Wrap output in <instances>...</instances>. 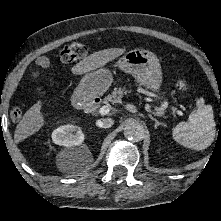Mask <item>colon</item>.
<instances>
[{"instance_id":"5ec220e1","label":"colon","mask_w":221,"mask_h":221,"mask_svg":"<svg viewBox=\"0 0 221 221\" xmlns=\"http://www.w3.org/2000/svg\"><path fill=\"white\" fill-rule=\"evenodd\" d=\"M88 54V48L79 42H72L66 44L59 52L57 58L60 62L71 63L84 58ZM178 87L181 91L186 92L189 90L190 85L185 79H180L178 82ZM23 114V109L20 106H15L10 111V118L13 121H18L21 119Z\"/></svg>"}]
</instances>
